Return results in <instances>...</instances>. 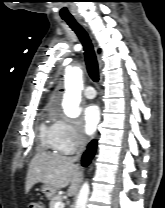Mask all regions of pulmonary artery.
<instances>
[{
	"label": "pulmonary artery",
	"instance_id": "e3ab8cb5",
	"mask_svg": "<svg viewBox=\"0 0 165 208\" xmlns=\"http://www.w3.org/2000/svg\"><path fill=\"white\" fill-rule=\"evenodd\" d=\"M83 94L87 99H94L96 97V92L92 86H87Z\"/></svg>",
	"mask_w": 165,
	"mask_h": 208
}]
</instances>
